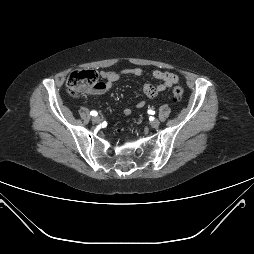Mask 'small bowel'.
Listing matches in <instances>:
<instances>
[{
	"instance_id": "small-bowel-1",
	"label": "small bowel",
	"mask_w": 254,
	"mask_h": 254,
	"mask_svg": "<svg viewBox=\"0 0 254 254\" xmlns=\"http://www.w3.org/2000/svg\"><path fill=\"white\" fill-rule=\"evenodd\" d=\"M143 73L142 69L139 67L134 68H126L120 71H100V77L103 79L102 82H100V85L98 87H95L90 90V93L92 94H103L107 91H109L114 84L120 80L122 76L125 75H131V76H141ZM152 76L159 80L160 83L157 85L152 84H145L143 86V93L148 98H155L158 94L165 92L166 90L170 89L173 85L178 83L179 78L176 74L171 72H165L160 70H154L152 72ZM145 105V101L139 100L136 103V106L138 108H142ZM125 115L131 114L130 108L124 109Z\"/></svg>"
}]
</instances>
